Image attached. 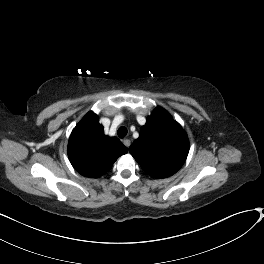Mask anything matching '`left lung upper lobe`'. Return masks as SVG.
<instances>
[{
    "instance_id": "obj_1",
    "label": "left lung upper lobe",
    "mask_w": 264,
    "mask_h": 264,
    "mask_svg": "<svg viewBox=\"0 0 264 264\" xmlns=\"http://www.w3.org/2000/svg\"><path fill=\"white\" fill-rule=\"evenodd\" d=\"M129 152L148 175L165 178L184 164L189 140L181 125L166 110L157 107L146 119Z\"/></svg>"
}]
</instances>
